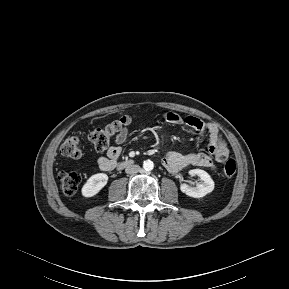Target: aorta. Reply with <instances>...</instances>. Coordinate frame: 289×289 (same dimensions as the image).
I'll use <instances>...</instances> for the list:
<instances>
[{
	"label": "aorta",
	"instance_id": "aorta-1",
	"mask_svg": "<svg viewBox=\"0 0 289 289\" xmlns=\"http://www.w3.org/2000/svg\"><path fill=\"white\" fill-rule=\"evenodd\" d=\"M143 168L145 171H151L154 168V163L151 160H146L143 162Z\"/></svg>",
	"mask_w": 289,
	"mask_h": 289
}]
</instances>
